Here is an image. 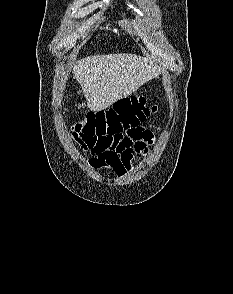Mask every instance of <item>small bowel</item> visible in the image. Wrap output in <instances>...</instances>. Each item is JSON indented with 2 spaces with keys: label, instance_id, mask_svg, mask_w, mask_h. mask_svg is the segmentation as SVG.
Masks as SVG:
<instances>
[{
  "label": "small bowel",
  "instance_id": "obj_1",
  "mask_svg": "<svg viewBox=\"0 0 233 294\" xmlns=\"http://www.w3.org/2000/svg\"><path fill=\"white\" fill-rule=\"evenodd\" d=\"M125 137H134L123 149H109L90 159V165L95 169H110L118 176L123 175L131 167V160L134 152L146 149V145L153 140L150 131L143 129V126H136V132H125Z\"/></svg>",
  "mask_w": 233,
  "mask_h": 294
}]
</instances>
